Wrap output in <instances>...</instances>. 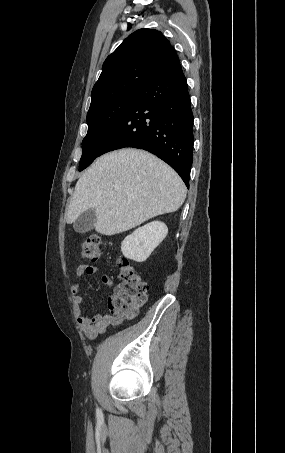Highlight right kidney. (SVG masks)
<instances>
[{
    "instance_id": "right-kidney-1",
    "label": "right kidney",
    "mask_w": 285,
    "mask_h": 453,
    "mask_svg": "<svg viewBox=\"0 0 285 453\" xmlns=\"http://www.w3.org/2000/svg\"><path fill=\"white\" fill-rule=\"evenodd\" d=\"M167 233L168 228L163 222H150L128 235L121 244V251L126 258L143 262L163 241Z\"/></svg>"
}]
</instances>
